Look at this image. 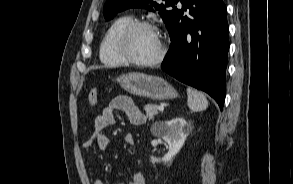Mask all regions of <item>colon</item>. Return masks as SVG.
Returning <instances> with one entry per match:
<instances>
[{"mask_svg": "<svg viewBox=\"0 0 293 184\" xmlns=\"http://www.w3.org/2000/svg\"><path fill=\"white\" fill-rule=\"evenodd\" d=\"M98 98V89L96 87L92 88L88 95V102L90 106H95Z\"/></svg>", "mask_w": 293, "mask_h": 184, "instance_id": "obj_1", "label": "colon"}]
</instances>
